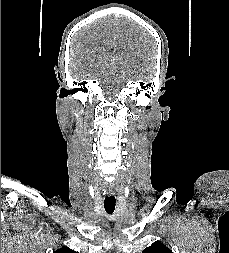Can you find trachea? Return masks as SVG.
Instances as JSON below:
<instances>
[{
	"label": "trachea",
	"instance_id": "3493384b",
	"mask_svg": "<svg viewBox=\"0 0 229 253\" xmlns=\"http://www.w3.org/2000/svg\"><path fill=\"white\" fill-rule=\"evenodd\" d=\"M116 199L114 196L106 197L104 200V208L108 214H112L115 210Z\"/></svg>",
	"mask_w": 229,
	"mask_h": 253
}]
</instances>
